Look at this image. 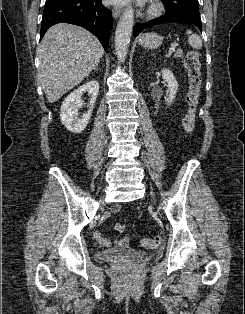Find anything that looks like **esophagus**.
Masks as SVG:
<instances>
[{
  "label": "esophagus",
  "mask_w": 245,
  "mask_h": 314,
  "mask_svg": "<svg viewBox=\"0 0 245 314\" xmlns=\"http://www.w3.org/2000/svg\"><path fill=\"white\" fill-rule=\"evenodd\" d=\"M111 11H112L113 17L115 19L118 18L121 15V13H122L121 8L117 7V6L112 7Z\"/></svg>",
  "instance_id": "34e87169"
}]
</instances>
